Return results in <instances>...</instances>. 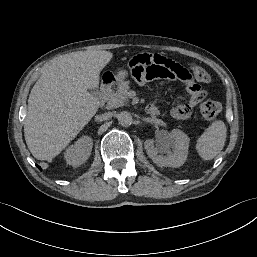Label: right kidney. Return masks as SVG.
<instances>
[{
  "label": "right kidney",
  "instance_id": "right-kidney-1",
  "mask_svg": "<svg viewBox=\"0 0 257 257\" xmlns=\"http://www.w3.org/2000/svg\"><path fill=\"white\" fill-rule=\"evenodd\" d=\"M93 141L89 136H83L69 146L64 154L67 164L78 166L87 161L92 151Z\"/></svg>",
  "mask_w": 257,
  "mask_h": 257
}]
</instances>
